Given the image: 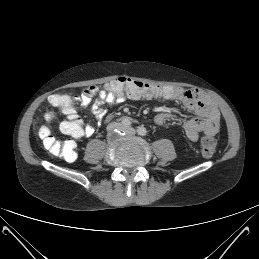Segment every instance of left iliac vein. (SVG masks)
I'll list each match as a JSON object with an SVG mask.
<instances>
[{
    "label": "left iliac vein",
    "mask_w": 259,
    "mask_h": 259,
    "mask_svg": "<svg viewBox=\"0 0 259 259\" xmlns=\"http://www.w3.org/2000/svg\"><path fill=\"white\" fill-rule=\"evenodd\" d=\"M124 131L127 133V134H131V135H134L136 133L135 129L132 128V127H128V128H123Z\"/></svg>",
    "instance_id": "1"
}]
</instances>
